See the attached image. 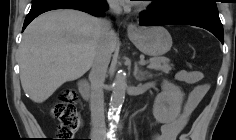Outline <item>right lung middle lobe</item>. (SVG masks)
Returning a JSON list of instances; mask_svg holds the SVG:
<instances>
[{
    "mask_svg": "<svg viewBox=\"0 0 236 140\" xmlns=\"http://www.w3.org/2000/svg\"><path fill=\"white\" fill-rule=\"evenodd\" d=\"M37 1H40V0H32L33 3L37 2ZM87 1H89L95 5L101 4V2H102L101 0H87Z\"/></svg>",
    "mask_w": 236,
    "mask_h": 140,
    "instance_id": "dd1d6c3e",
    "label": "right lung middle lobe"
}]
</instances>
